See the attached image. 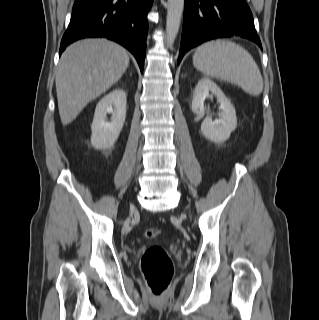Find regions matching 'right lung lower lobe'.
I'll list each match as a JSON object with an SVG mask.
<instances>
[{
  "mask_svg": "<svg viewBox=\"0 0 319 320\" xmlns=\"http://www.w3.org/2000/svg\"><path fill=\"white\" fill-rule=\"evenodd\" d=\"M153 0H75L59 55L74 41L107 37L126 47L143 71L148 31L147 13Z\"/></svg>",
  "mask_w": 319,
  "mask_h": 320,
  "instance_id": "98d812e1",
  "label": "right lung lower lobe"
}]
</instances>
